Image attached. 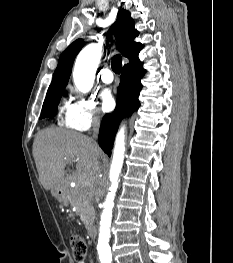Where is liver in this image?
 Returning a JSON list of instances; mask_svg holds the SVG:
<instances>
[{
  "instance_id": "1",
  "label": "liver",
  "mask_w": 233,
  "mask_h": 263,
  "mask_svg": "<svg viewBox=\"0 0 233 263\" xmlns=\"http://www.w3.org/2000/svg\"><path fill=\"white\" fill-rule=\"evenodd\" d=\"M33 156L41 184L44 189L52 190L56 182L64 177L69 161L78 159L77 181H81L89 176V169L95 168L101 152L88 136L52 127L37 134Z\"/></svg>"
}]
</instances>
